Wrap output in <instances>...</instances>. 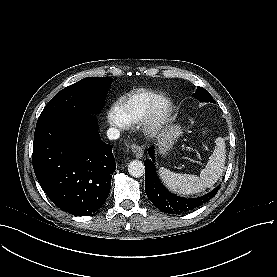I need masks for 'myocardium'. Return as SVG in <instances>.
Instances as JSON below:
<instances>
[{"label":"myocardium","instance_id":"f54148a6","mask_svg":"<svg viewBox=\"0 0 277 277\" xmlns=\"http://www.w3.org/2000/svg\"><path fill=\"white\" fill-rule=\"evenodd\" d=\"M173 111L172 102L165 96H158L150 105L147 116L143 123L145 132L154 136L168 121Z\"/></svg>","mask_w":277,"mask_h":277}]
</instances>
